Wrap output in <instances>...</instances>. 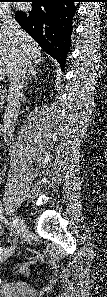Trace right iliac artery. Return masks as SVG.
<instances>
[{"label":"right iliac artery","mask_w":107,"mask_h":297,"mask_svg":"<svg viewBox=\"0 0 107 297\" xmlns=\"http://www.w3.org/2000/svg\"><path fill=\"white\" fill-rule=\"evenodd\" d=\"M0 213H3L2 210H0ZM1 217V221L4 222L7 225H10V227L12 229H14V232H16L17 235L20 234V231L16 229L15 227V220H13V222H8V220L5 218V216H3V214L0 215ZM21 235V234H20ZM8 248H0V254H2L4 251H6Z\"/></svg>","instance_id":"1"}]
</instances>
